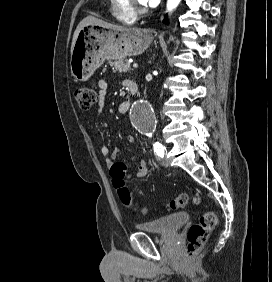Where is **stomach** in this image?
Instances as JSON below:
<instances>
[{
  "label": "stomach",
  "mask_w": 272,
  "mask_h": 282,
  "mask_svg": "<svg viewBox=\"0 0 272 282\" xmlns=\"http://www.w3.org/2000/svg\"><path fill=\"white\" fill-rule=\"evenodd\" d=\"M148 29L129 28L122 31L99 25L83 27L71 54V73L76 81H86L106 59H123L143 53L152 43Z\"/></svg>",
  "instance_id": "obj_1"
}]
</instances>
